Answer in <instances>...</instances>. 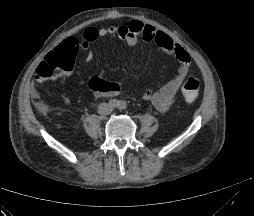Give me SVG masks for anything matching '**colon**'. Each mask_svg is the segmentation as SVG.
<instances>
[{
  "label": "colon",
  "instance_id": "colon-1",
  "mask_svg": "<svg viewBox=\"0 0 254 216\" xmlns=\"http://www.w3.org/2000/svg\"><path fill=\"white\" fill-rule=\"evenodd\" d=\"M79 46L77 48V51ZM74 52L64 49L62 51H53L50 52L44 59L43 62L37 68V75L44 80H49L62 73L71 69L72 63V54ZM200 90V81L197 78H189L183 88L182 95L187 102H194Z\"/></svg>",
  "mask_w": 254,
  "mask_h": 216
}]
</instances>
